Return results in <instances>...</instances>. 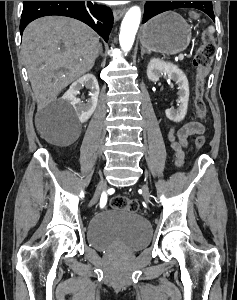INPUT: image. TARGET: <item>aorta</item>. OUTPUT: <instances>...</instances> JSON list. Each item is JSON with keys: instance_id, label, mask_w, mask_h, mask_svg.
<instances>
[{"instance_id": "762f6f07", "label": "aorta", "mask_w": 237, "mask_h": 300, "mask_svg": "<svg viewBox=\"0 0 237 300\" xmlns=\"http://www.w3.org/2000/svg\"><path fill=\"white\" fill-rule=\"evenodd\" d=\"M141 21V9L140 7H131L127 11L120 29L119 43L122 51L128 53L132 49V45L135 41V35L138 31V27Z\"/></svg>"}]
</instances>
